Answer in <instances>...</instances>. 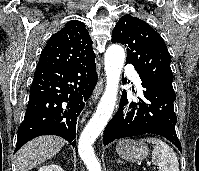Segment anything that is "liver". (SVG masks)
Returning a JSON list of instances; mask_svg holds the SVG:
<instances>
[{
  "mask_svg": "<svg viewBox=\"0 0 199 171\" xmlns=\"http://www.w3.org/2000/svg\"><path fill=\"white\" fill-rule=\"evenodd\" d=\"M65 140L54 135H44L26 143L16 154L17 171H28L56 155Z\"/></svg>",
  "mask_w": 199,
  "mask_h": 171,
  "instance_id": "6515ba94",
  "label": "liver"
}]
</instances>
